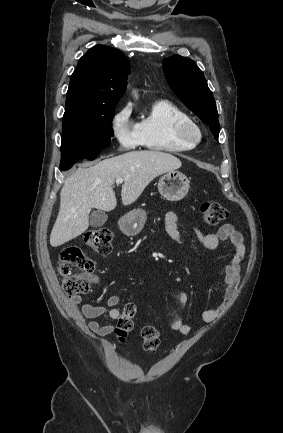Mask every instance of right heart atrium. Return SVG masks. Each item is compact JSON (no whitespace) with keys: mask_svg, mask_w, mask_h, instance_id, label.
<instances>
[{"mask_svg":"<svg viewBox=\"0 0 283 433\" xmlns=\"http://www.w3.org/2000/svg\"><path fill=\"white\" fill-rule=\"evenodd\" d=\"M132 106L118 108L110 119V131L118 153H124L143 144L138 124L132 120Z\"/></svg>","mask_w":283,"mask_h":433,"instance_id":"right-heart-atrium-1","label":"right heart atrium"}]
</instances>
